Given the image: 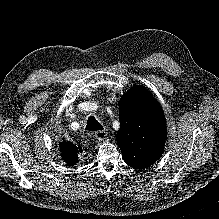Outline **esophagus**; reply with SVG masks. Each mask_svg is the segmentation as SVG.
Listing matches in <instances>:
<instances>
[{
    "instance_id": "34e87169",
    "label": "esophagus",
    "mask_w": 219,
    "mask_h": 219,
    "mask_svg": "<svg viewBox=\"0 0 219 219\" xmlns=\"http://www.w3.org/2000/svg\"><path fill=\"white\" fill-rule=\"evenodd\" d=\"M107 131H105V130H100V131H97V132H95V138L97 139V140H99V141H103V140H105L106 139V137H107Z\"/></svg>"
}]
</instances>
